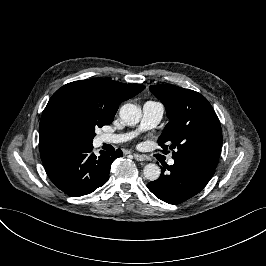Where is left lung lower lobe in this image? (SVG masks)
I'll return each mask as SVG.
<instances>
[{
    "mask_svg": "<svg viewBox=\"0 0 266 266\" xmlns=\"http://www.w3.org/2000/svg\"><path fill=\"white\" fill-rule=\"evenodd\" d=\"M174 164L161 170L160 177L147 184L159 199L169 204H180L198 194L215 173L212 165L189 158H174Z\"/></svg>",
    "mask_w": 266,
    "mask_h": 266,
    "instance_id": "0a47b994",
    "label": "left lung lower lobe"
}]
</instances>
